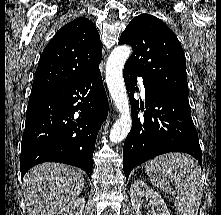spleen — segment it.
I'll use <instances>...</instances> for the list:
<instances>
[{
  "label": "spleen",
  "instance_id": "3e777b00",
  "mask_svg": "<svg viewBox=\"0 0 221 215\" xmlns=\"http://www.w3.org/2000/svg\"><path fill=\"white\" fill-rule=\"evenodd\" d=\"M146 172L151 174L153 186L176 195L175 211L177 215H197L202 198L201 173L198 165L187 155L169 153L151 160L146 165ZM153 172L161 173L152 175ZM166 176L175 190L166 182Z\"/></svg>",
  "mask_w": 221,
  "mask_h": 215
}]
</instances>
